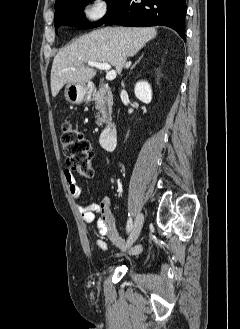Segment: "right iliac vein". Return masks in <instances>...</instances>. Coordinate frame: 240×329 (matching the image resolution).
I'll list each match as a JSON object with an SVG mask.
<instances>
[{"mask_svg": "<svg viewBox=\"0 0 240 329\" xmlns=\"http://www.w3.org/2000/svg\"><path fill=\"white\" fill-rule=\"evenodd\" d=\"M143 221H144L143 214L139 213L135 219L134 226H133L132 231L127 240V243H126L127 247H130L131 245H133L134 242L137 240V238L141 232L142 226H143ZM122 251H124V250H122Z\"/></svg>", "mask_w": 240, "mask_h": 329, "instance_id": "obj_1", "label": "right iliac vein"}]
</instances>
